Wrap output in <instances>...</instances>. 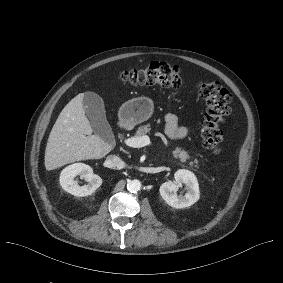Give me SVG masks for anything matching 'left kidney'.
<instances>
[{
    "mask_svg": "<svg viewBox=\"0 0 283 283\" xmlns=\"http://www.w3.org/2000/svg\"><path fill=\"white\" fill-rule=\"evenodd\" d=\"M174 181H167L160 186L159 192L171 207L181 209L193 205L200 197L199 184L195 174L189 170L179 169L174 174ZM185 184L187 192L177 196L176 190Z\"/></svg>",
    "mask_w": 283,
    "mask_h": 283,
    "instance_id": "1",
    "label": "left kidney"
}]
</instances>
